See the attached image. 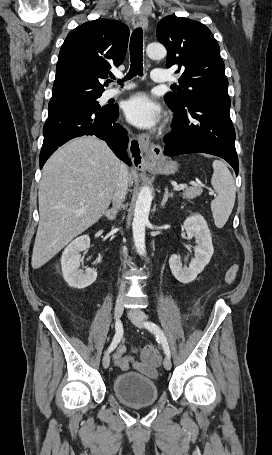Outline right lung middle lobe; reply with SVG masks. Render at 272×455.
Here are the masks:
<instances>
[{
	"label": "right lung middle lobe",
	"mask_w": 272,
	"mask_h": 455,
	"mask_svg": "<svg viewBox=\"0 0 272 455\" xmlns=\"http://www.w3.org/2000/svg\"><path fill=\"white\" fill-rule=\"evenodd\" d=\"M101 96L99 95H92V96H83V97H76L70 98L62 101L56 102H49L48 108L49 112L48 115L54 114L63 110L69 109H81V110H89V109H97V110H107L110 107L103 106L101 107L97 101V99Z\"/></svg>",
	"instance_id": "1"
}]
</instances>
